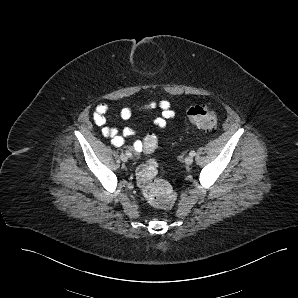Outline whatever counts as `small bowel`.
Returning <instances> with one entry per match:
<instances>
[{"mask_svg": "<svg viewBox=\"0 0 298 298\" xmlns=\"http://www.w3.org/2000/svg\"><path fill=\"white\" fill-rule=\"evenodd\" d=\"M108 105L106 103H100L96 106L93 113L94 123L101 127L103 136L110 138L111 143L120 147L125 143L127 137L133 136L136 131L131 127H124L121 131L117 128L106 126V114L108 112ZM158 110L160 116L156 117L153 120V124L158 128H165L167 126V121L173 119L176 116V113L172 107V104L168 100L160 101H147L140 102L133 106L127 105L120 110V117L127 121L129 120L135 111L146 112ZM131 150L136 153L142 152V142L140 140H134L130 146Z\"/></svg>", "mask_w": 298, "mask_h": 298, "instance_id": "small-bowel-1", "label": "small bowel"}]
</instances>
